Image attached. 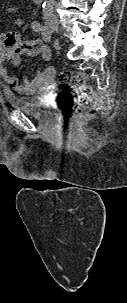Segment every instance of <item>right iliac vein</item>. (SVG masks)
<instances>
[{
    "label": "right iliac vein",
    "instance_id": "63e3f726",
    "mask_svg": "<svg viewBox=\"0 0 127 303\" xmlns=\"http://www.w3.org/2000/svg\"><path fill=\"white\" fill-rule=\"evenodd\" d=\"M49 26L52 29V31H57L58 30V23L56 21L51 20L49 22Z\"/></svg>",
    "mask_w": 127,
    "mask_h": 303
}]
</instances>
